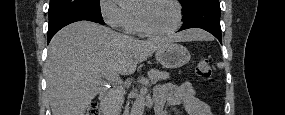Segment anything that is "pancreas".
I'll return each mask as SVG.
<instances>
[{
  "instance_id": "cf45deb5",
  "label": "pancreas",
  "mask_w": 285,
  "mask_h": 115,
  "mask_svg": "<svg viewBox=\"0 0 285 115\" xmlns=\"http://www.w3.org/2000/svg\"><path fill=\"white\" fill-rule=\"evenodd\" d=\"M148 76L153 83H156L160 80L169 79V73L159 71L157 69H152L148 72ZM125 89L122 86H115L110 90L107 97V108L118 113L120 107L124 101Z\"/></svg>"
}]
</instances>
